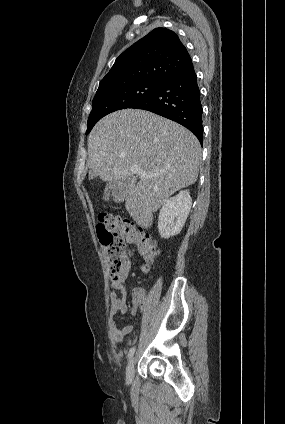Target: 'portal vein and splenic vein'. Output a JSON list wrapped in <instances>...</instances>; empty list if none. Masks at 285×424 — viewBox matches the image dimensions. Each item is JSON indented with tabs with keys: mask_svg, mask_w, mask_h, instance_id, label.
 Listing matches in <instances>:
<instances>
[{
	"mask_svg": "<svg viewBox=\"0 0 285 424\" xmlns=\"http://www.w3.org/2000/svg\"><path fill=\"white\" fill-rule=\"evenodd\" d=\"M131 172L133 173V174H137V175H139V176H142V177H152L153 176V174H148V173H146V172H144L139 166H137V165H133L132 167H131Z\"/></svg>",
	"mask_w": 285,
	"mask_h": 424,
	"instance_id": "portal-vein-and-splenic-vein-1",
	"label": "portal vein and splenic vein"
}]
</instances>
